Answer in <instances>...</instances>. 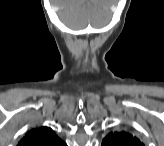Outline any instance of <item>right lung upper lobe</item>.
Segmentation results:
<instances>
[{"mask_svg":"<svg viewBox=\"0 0 164 146\" xmlns=\"http://www.w3.org/2000/svg\"><path fill=\"white\" fill-rule=\"evenodd\" d=\"M65 143L48 127L33 129L18 143V146H64Z\"/></svg>","mask_w":164,"mask_h":146,"instance_id":"1","label":"right lung upper lobe"}]
</instances>
